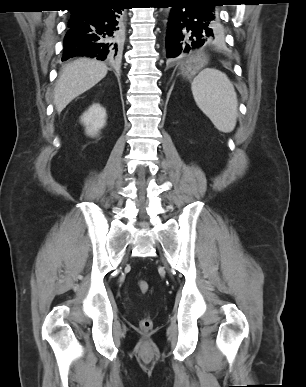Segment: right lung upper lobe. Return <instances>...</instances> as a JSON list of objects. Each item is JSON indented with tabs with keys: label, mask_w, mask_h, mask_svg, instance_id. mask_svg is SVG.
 <instances>
[{
	"label": "right lung upper lobe",
	"mask_w": 306,
	"mask_h": 387,
	"mask_svg": "<svg viewBox=\"0 0 306 387\" xmlns=\"http://www.w3.org/2000/svg\"><path fill=\"white\" fill-rule=\"evenodd\" d=\"M76 4H95L105 0H74ZM70 23V21H69ZM68 23V24H69Z\"/></svg>",
	"instance_id": "cb5924a9"
}]
</instances>
